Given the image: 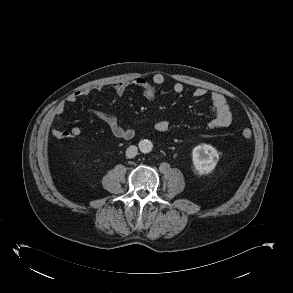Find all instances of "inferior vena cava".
Instances as JSON below:
<instances>
[{"label":"inferior vena cava","instance_id":"602c4592","mask_svg":"<svg viewBox=\"0 0 293 293\" xmlns=\"http://www.w3.org/2000/svg\"><path fill=\"white\" fill-rule=\"evenodd\" d=\"M137 147L134 145H131L126 150V157L127 158H134L137 155Z\"/></svg>","mask_w":293,"mask_h":293}]
</instances>
